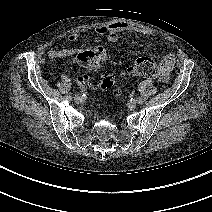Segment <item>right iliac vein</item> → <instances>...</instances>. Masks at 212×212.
<instances>
[{"mask_svg":"<svg viewBox=\"0 0 212 212\" xmlns=\"http://www.w3.org/2000/svg\"><path fill=\"white\" fill-rule=\"evenodd\" d=\"M74 101L77 102V103L80 102L81 101V96L80 95H75Z\"/></svg>","mask_w":212,"mask_h":212,"instance_id":"right-iliac-vein-1","label":"right iliac vein"}]
</instances>
